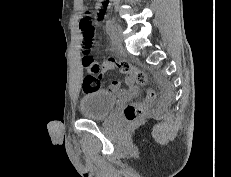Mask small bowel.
Returning a JSON list of instances; mask_svg holds the SVG:
<instances>
[{
  "label": "small bowel",
  "instance_id": "obj_1",
  "mask_svg": "<svg viewBox=\"0 0 231 177\" xmlns=\"http://www.w3.org/2000/svg\"><path fill=\"white\" fill-rule=\"evenodd\" d=\"M98 6H97V10L94 13V19L96 22H100L102 21L103 17H104V12L106 10V8L109 5V0H98ZM85 15L88 13L87 11H84ZM113 64L111 62H109L108 60H105L102 63V67H101V72L99 73V78H102L103 74L109 70L113 68ZM126 83L127 85L133 89V84L134 81L128 76L126 78ZM120 88V83L118 81H113L110 86L108 87V89L110 90H118Z\"/></svg>",
  "mask_w": 231,
  "mask_h": 177
}]
</instances>
